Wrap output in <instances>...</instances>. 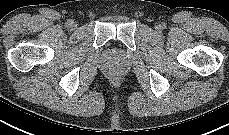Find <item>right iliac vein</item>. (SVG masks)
Wrapping results in <instances>:
<instances>
[{"label":"right iliac vein","instance_id":"right-iliac-vein-1","mask_svg":"<svg viewBox=\"0 0 229 135\" xmlns=\"http://www.w3.org/2000/svg\"><path fill=\"white\" fill-rule=\"evenodd\" d=\"M69 27H70L71 29H75V28L77 27L76 22H74V21L71 20Z\"/></svg>","mask_w":229,"mask_h":135}]
</instances>
